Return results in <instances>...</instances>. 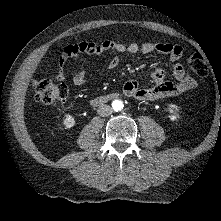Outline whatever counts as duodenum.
Wrapping results in <instances>:
<instances>
[{"instance_id":"duodenum-1","label":"duodenum","mask_w":221,"mask_h":221,"mask_svg":"<svg viewBox=\"0 0 221 221\" xmlns=\"http://www.w3.org/2000/svg\"><path fill=\"white\" fill-rule=\"evenodd\" d=\"M120 96L119 93L114 92V93H109L106 95L98 96L95 97L94 99L91 100V105L94 107L100 106L104 103H107L110 100L116 99Z\"/></svg>"}]
</instances>
